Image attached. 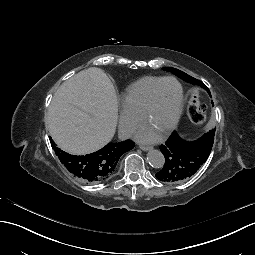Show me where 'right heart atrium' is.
Here are the masks:
<instances>
[{
	"instance_id": "right-heart-atrium-1",
	"label": "right heart atrium",
	"mask_w": 255,
	"mask_h": 255,
	"mask_svg": "<svg viewBox=\"0 0 255 255\" xmlns=\"http://www.w3.org/2000/svg\"><path fill=\"white\" fill-rule=\"evenodd\" d=\"M138 118L123 108L119 110V130L123 137H130L138 126Z\"/></svg>"
}]
</instances>
